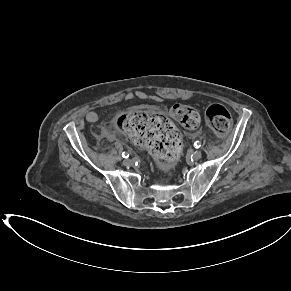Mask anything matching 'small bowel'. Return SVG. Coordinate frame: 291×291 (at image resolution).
I'll return each instance as SVG.
<instances>
[{"label": "small bowel", "mask_w": 291, "mask_h": 291, "mask_svg": "<svg viewBox=\"0 0 291 291\" xmlns=\"http://www.w3.org/2000/svg\"><path fill=\"white\" fill-rule=\"evenodd\" d=\"M139 93H140V91H134L133 95L138 98ZM86 119H87V121H89L91 123H96V122H98V115L95 112L90 111L87 113Z\"/></svg>", "instance_id": "small-bowel-1"}]
</instances>
